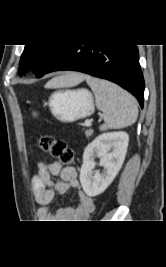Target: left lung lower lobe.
<instances>
[{
    "instance_id": "1",
    "label": "left lung lower lobe",
    "mask_w": 166,
    "mask_h": 267,
    "mask_svg": "<svg viewBox=\"0 0 166 267\" xmlns=\"http://www.w3.org/2000/svg\"><path fill=\"white\" fill-rule=\"evenodd\" d=\"M59 70L112 81L132 93L143 107L145 84L137 45H64L44 75Z\"/></svg>"
}]
</instances>
